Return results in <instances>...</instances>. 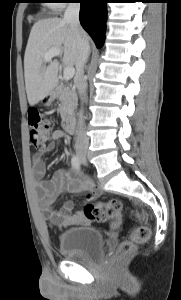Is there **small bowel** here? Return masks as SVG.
Returning a JSON list of instances; mask_svg holds the SVG:
<instances>
[{"mask_svg":"<svg viewBox=\"0 0 181 300\" xmlns=\"http://www.w3.org/2000/svg\"><path fill=\"white\" fill-rule=\"evenodd\" d=\"M63 137L62 131H54L52 142L47 146L45 152L52 151L56 141ZM33 174L38 197L47 214L46 219L50 223L62 228L90 224L91 221L84 216L82 211H74V204L71 201H66L60 209L54 208L56 200L64 192L71 194L86 192L87 201L97 198L101 191L94 187L86 177L75 173L72 168H60L53 172L50 179H45L46 168L43 153H37L34 156Z\"/></svg>","mask_w":181,"mask_h":300,"instance_id":"c3829d8e","label":"small bowel"}]
</instances>
